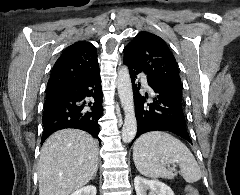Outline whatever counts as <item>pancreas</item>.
Returning a JSON list of instances; mask_svg holds the SVG:
<instances>
[{
	"label": "pancreas",
	"mask_w": 240,
	"mask_h": 195,
	"mask_svg": "<svg viewBox=\"0 0 240 195\" xmlns=\"http://www.w3.org/2000/svg\"><path fill=\"white\" fill-rule=\"evenodd\" d=\"M175 175H177V171H174V167H170V169H168L167 177H169V179H173Z\"/></svg>",
	"instance_id": "cf45deb5"
}]
</instances>
